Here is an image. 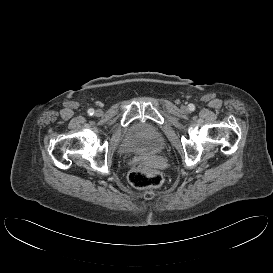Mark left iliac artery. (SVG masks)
<instances>
[{
    "label": "left iliac artery",
    "mask_w": 273,
    "mask_h": 273,
    "mask_svg": "<svg viewBox=\"0 0 273 273\" xmlns=\"http://www.w3.org/2000/svg\"><path fill=\"white\" fill-rule=\"evenodd\" d=\"M194 108H195V107H194L193 104H190V105H189V109H190V110H194Z\"/></svg>",
    "instance_id": "44dca946"
}]
</instances>
